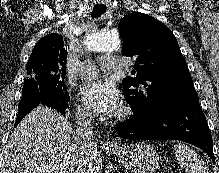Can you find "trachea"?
I'll return each instance as SVG.
<instances>
[{
	"instance_id": "3493384b",
	"label": "trachea",
	"mask_w": 219,
	"mask_h": 173,
	"mask_svg": "<svg viewBox=\"0 0 219 173\" xmlns=\"http://www.w3.org/2000/svg\"><path fill=\"white\" fill-rule=\"evenodd\" d=\"M105 12H106V6H104V5H95L93 7V11L91 13V17L92 18L99 17L102 14H104Z\"/></svg>"
}]
</instances>
